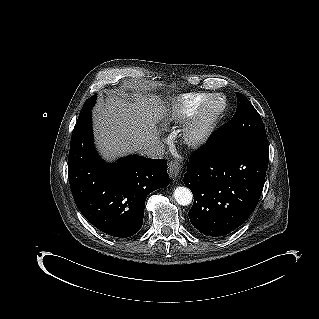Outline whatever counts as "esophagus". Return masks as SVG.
I'll return each instance as SVG.
<instances>
[{
	"mask_svg": "<svg viewBox=\"0 0 319 319\" xmlns=\"http://www.w3.org/2000/svg\"><path fill=\"white\" fill-rule=\"evenodd\" d=\"M180 170H181V165L177 160H172L171 162H169L168 173L172 179H175L178 177Z\"/></svg>",
	"mask_w": 319,
	"mask_h": 319,
	"instance_id": "34e87169",
	"label": "esophagus"
}]
</instances>
